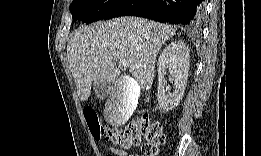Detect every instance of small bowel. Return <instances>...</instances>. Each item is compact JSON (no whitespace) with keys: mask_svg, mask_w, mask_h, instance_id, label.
Masks as SVG:
<instances>
[{"mask_svg":"<svg viewBox=\"0 0 261 156\" xmlns=\"http://www.w3.org/2000/svg\"><path fill=\"white\" fill-rule=\"evenodd\" d=\"M114 155L125 156V155H127V152L124 149H121V148L110 147L108 156H114Z\"/></svg>","mask_w":261,"mask_h":156,"instance_id":"c3829d8e","label":"small bowel"}]
</instances>
